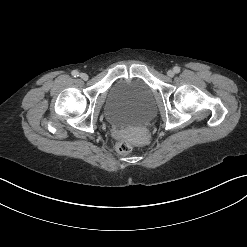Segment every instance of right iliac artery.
I'll list each match as a JSON object with an SVG mask.
<instances>
[{
    "label": "right iliac artery",
    "mask_w": 247,
    "mask_h": 247,
    "mask_svg": "<svg viewBox=\"0 0 247 247\" xmlns=\"http://www.w3.org/2000/svg\"><path fill=\"white\" fill-rule=\"evenodd\" d=\"M71 74L74 77H78L79 76V72L77 70H73Z\"/></svg>",
    "instance_id": "obj_1"
}]
</instances>
